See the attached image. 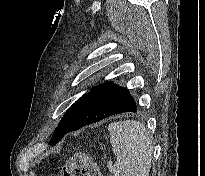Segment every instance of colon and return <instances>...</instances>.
Masks as SVG:
<instances>
[{"label":"colon","instance_id":"obj_1","mask_svg":"<svg viewBox=\"0 0 205 176\" xmlns=\"http://www.w3.org/2000/svg\"><path fill=\"white\" fill-rule=\"evenodd\" d=\"M103 176L98 164L87 153L78 152L72 155L62 166L60 176Z\"/></svg>","mask_w":205,"mask_h":176}]
</instances>
